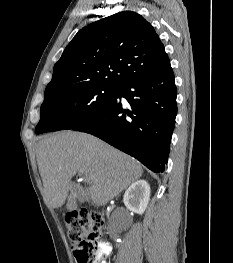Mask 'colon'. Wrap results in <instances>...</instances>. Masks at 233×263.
I'll use <instances>...</instances> for the list:
<instances>
[{"label": "colon", "mask_w": 233, "mask_h": 263, "mask_svg": "<svg viewBox=\"0 0 233 263\" xmlns=\"http://www.w3.org/2000/svg\"><path fill=\"white\" fill-rule=\"evenodd\" d=\"M103 225L99 212L83 209L66 217L67 236L78 263H102V246L106 242L101 238Z\"/></svg>", "instance_id": "colon-1"}]
</instances>
